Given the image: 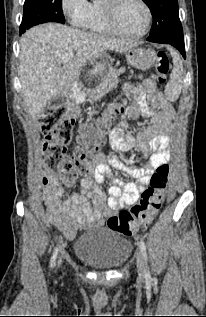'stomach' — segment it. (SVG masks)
Instances as JSON below:
<instances>
[{
    "label": "stomach",
    "instance_id": "0dacf381",
    "mask_svg": "<svg viewBox=\"0 0 206 317\" xmlns=\"http://www.w3.org/2000/svg\"><path fill=\"white\" fill-rule=\"evenodd\" d=\"M152 55L150 49L138 46L131 47L126 52L127 63H125V70L144 68L148 65L149 58ZM113 59V55H93L92 59H87L80 69V76L75 77L80 94H94L90 90L91 87H98L101 86V83L111 82L108 77L114 72L112 68Z\"/></svg>",
    "mask_w": 206,
    "mask_h": 317
}]
</instances>
